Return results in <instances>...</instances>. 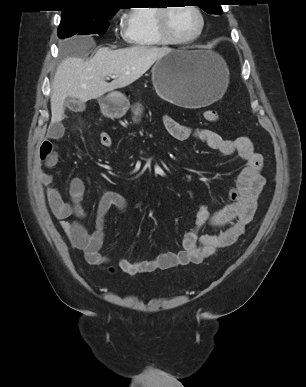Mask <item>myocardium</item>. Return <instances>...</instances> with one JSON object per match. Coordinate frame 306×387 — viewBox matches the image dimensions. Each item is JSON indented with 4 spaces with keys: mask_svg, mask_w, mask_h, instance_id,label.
Returning <instances> with one entry per match:
<instances>
[{
    "mask_svg": "<svg viewBox=\"0 0 306 387\" xmlns=\"http://www.w3.org/2000/svg\"><path fill=\"white\" fill-rule=\"evenodd\" d=\"M187 6L190 7L197 14L199 18V28L197 32L192 37L187 39L176 38L175 36L172 35L170 31L169 14L174 7L164 6V7L158 8L157 14H156V27L160 38L165 44H171V45L192 44L196 42L203 34L205 29V17L202 10L200 9V7L194 4H190Z\"/></svg>",
    "mask_w": 306,
    "mask_h": 387,
    "instance_id": "obj_1",
    "label": "myocardium"
}]
</instances>
